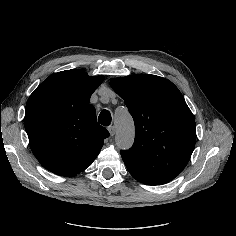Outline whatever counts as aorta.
I'll use <instances>...</instances> for the list:
<instances>
[{
  "label": "aorta",
  "instance_id": "1",
  "mask_svg": "<svg viewBox=\"0 0 236 236\" xmlns=\"http://www.w3.org/2000/svg\"><path fill=\"white\" fill-rule=\"evenodd\" d=\"M116 145L120 149H128L134 142V122L127 110L118 111L115 115Z\"/></svg>",
  "mask_w": 236,
  "mask_h": 236
}]
</instances>
